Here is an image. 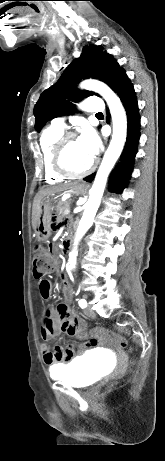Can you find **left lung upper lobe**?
<instances>
[{
    "instance_id": "1",
    "label": "left lung upper lobe",
    "mask_w": 165,
    "mask_h": 461,
    "mask_svg": "<svg viewBox=\"0 0 165 461\" xmlns=\"http://www.w3.org/2000/svg\"><path fill=\"white\" fill-rule=\"evenodd\" d=\"M123 71L110 54L103 52L101 46H84L81 56L64 70L54 85L41 94L34 107L36 131H40L49 119L72 113L73 102L94 94L76 88V84L82 79H99L112 88L116 78Z\"/></svg>"
}]
</instances>
